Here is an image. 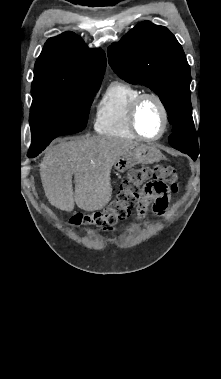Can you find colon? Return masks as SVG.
Here are the masks:
<instances>
[{
	"instance_id": "5ec220e1",
	"label": "colon",
	"mask_w": 221,
	"mask_h": 379,
	"mask_svg": "<svg viewBox=\"0 0 221 379\" xmlns=\"http://www.w3.org/2000/svg\"><path fill=\"white\" fill-rule=\"evenodd\" d=\"M178 187V173L172 166L158 164L135 168L122 182L118 196L110 206L88 214H76L70 223L76 227L92 225L111 228L127 219L143 196L165 194L169 189L176 192Z\"/></svg>"
}]
</instances>
